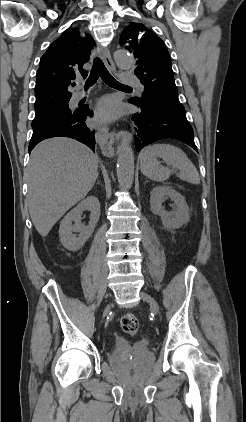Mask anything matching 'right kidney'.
<instances>
[{"label":"right kidney","instance_id":"obj_1","mask_svg":"<svg viewBox=\"0 0 246 422\" xmlns=\"http://www.w3.org/2000/svg\"><path fill=\"white\" fill-rule=\"evenodd\" d=\"M90 212V221L87 226L81 223L83 211ZM100 202L95 196H88L73 208L61 221L59 237L61 244L70 251H77L83 247L91 237L95 226L100 218ZM74 222V225L72 224ZM73 232H78L76 236Z\"/></svg>","mask_w":246,"mask_h":422}]
</instances>
